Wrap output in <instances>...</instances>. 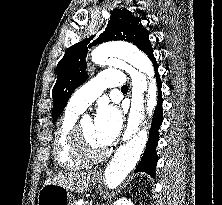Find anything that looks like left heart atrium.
<instances>
[{
	"instance_id": "39dd6f15",
	"label": "left heart atrium",
	"mask_w": 222,
	"mask_h": 205,
	"mask_svg": "<svg viewBox=\"0 0 222 205\" xmlns=\"http://www.w3.org/2000/svg\"><path fill=\"white\" fill-rule=\"evenodd\" d=\"M121 126L122 116L116 107L106 104L98 107L93 127L100 145H110L118 136Z\"/></svg>"
}]
</instances>
